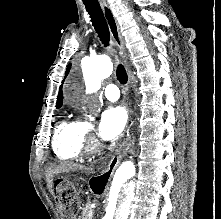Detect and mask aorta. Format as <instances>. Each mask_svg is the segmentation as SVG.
Instances as JSON below:
<instances>
[{"mask_svg": "<svg viewBox=\"0 0 221 219\" xmlns=\"http://www.w3.org/2000/svg\"><path fill=\"white\" fill-rule=\"evenodd\" d=\"M85 68L91 75L90 91L94 93L100 88L101 80L108 78L113 72V64L106 55L87 60ZM86 101L84 100L85 103ZM139 171L137 161L125 162L117 168L110 189L105 219H128Z\"/></svg>", "mask_w": 221, "mask_h": 219, "instance_id": "obj_1", "label": "aorta"}]
</instances>
